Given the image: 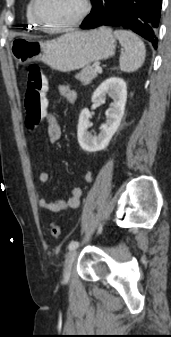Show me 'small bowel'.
Wrapping results in <instances>:
<instances>
[{"label": "small bowel", "mask_w": 171, "mask_h": 337, "mask_svg": "<svg viewBox=\"0 0 171 337\" xmlns=\"http://www.w3.org/2000/svg\"><path fill=\"white\" fill-rule=\"evenodd\" d=\"M58 93L60 94V96L64 97L69 103H75L77 100V93L66 85H60L58 87ZM45 109L48 110V115L45 116L47 120L46 132L48 140L50 143H57L62 137L61 126L57 122L50 107L48 106ZM38 177L41 183H46L49 180V174L46 171H41ZM82 179L85 182H90L92 180V174L89 169H84ZM82 192V187L76 185L72 188L71 196L67 200L42 197L39 200V205L41 208L49 210L53 213H61L69 209H75L79 206Z\"/></svg>", "instance_id": "small-bowel-1"}]
</instances>
